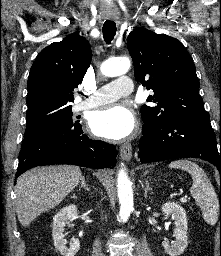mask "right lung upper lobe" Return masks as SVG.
Masks as SVG:
<instances>
[{
  "label": "right lung upper lobe",
  "mask_w": 221,
  "mask_h": 256,
  "mask_svg": "<svg viewBox=\"0 0 221 256\" xmlns=\"http://www.w3.org/2000/svg\"><path fill=\"white\" fill-rule=\"evenodd\" d=\"M88 41L69 35L44 48L33 63L27 83L28 111L44 106H71L73 90L91 63Z\"/></svg>",
  "instance_id": "cb5924a9"
}]
</instances>
